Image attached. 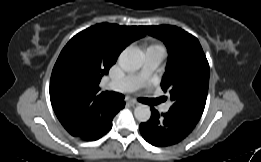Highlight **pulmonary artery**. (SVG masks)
<instances>
[{
  "label": "pulmonary artery",
  "instance_id": "e3ab8cb5",
  "mask_svg": "<svg viewBox=\"0 0 261 162\" xmlns=\"http://www.w3.org/2000/svg\"><path fill=\"white\" fill-rule=\"evenodd\" d=\"M164 51L161 49H149L144 53L143 65L141 70L131 76H127L121 80L109 81L108 87L119 93H128L143 86L148 81L154 70L164 59ZM169 103L159 105V110L166 113L169 110Z\"/></svg>",
  "mask_w": 261,
  "mask_h": 162
}]
</instances>
